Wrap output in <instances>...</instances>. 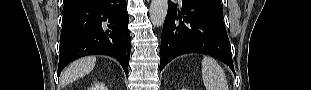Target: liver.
Returning a JSON list of instances; mask_svg holds the SVG:
<instances>
[{"mask_svg": "<svg viewBox=\"0 0 311 90\" xmlns=\"http://www.w3.org/2000/svg\"><path fill=\"white\" fill-rule=\"evenodd\" d=\"M96 57L88 56L71 63L64 71L62 85H67L76 79L89 74L95 67Z\"/></svg>", "mask_w": 311, "mask_h": 90, "instance_id": "obj_1", "label": "liver"}]
</instances>
